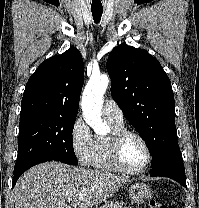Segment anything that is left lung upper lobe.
I'll list each match as a JSON object with an SVG mask.
<instances>
[{
  "label": "left lung upper lobe",
  "instance_id": "left-lung-upper-lobe-1",
  "mask_svg": "<svg viewBox=\"0 0 199 208\" xmlns=\"http://www.w3.org/2000/svg\"><path fill=\"white\" fill-rule=\"evenodd\" d=\"M106 67L112 97L146 142L153 166L178 147L170 80L156 58L132 46L116 47Z\"/></svg>",
  "mask_w": 199,
  "mask_h": 208
}]
</instances>
